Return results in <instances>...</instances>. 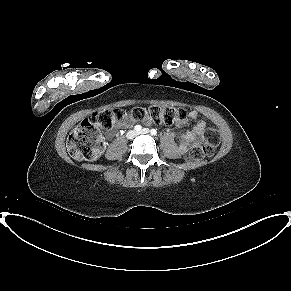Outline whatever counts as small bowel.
Segmentation results:
<instances>
[{
	"mask_svg": "<svg viewBox=\"0 0 291 291\" xmlns=\"http://www.w3.org/2000/svg\"><path fill=\"white\" fill-rule=\"evenodd\" d=\"M189 119L194 123L191 131L185 132L180 137V148L186 150L190 145H198L203 141L205 133V123L199 119V115L196 111L189 113ZM133 118L126 114L124 118L118 123L120 128H127L133 124ZM182 125L183 122H180Z\"/></svg>",
	"mask_w": 291,
	"mask_h": 291,
	"instance_id": "c3829d8e",
	"label": "small bowel"
}]
</instances>
